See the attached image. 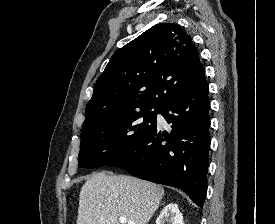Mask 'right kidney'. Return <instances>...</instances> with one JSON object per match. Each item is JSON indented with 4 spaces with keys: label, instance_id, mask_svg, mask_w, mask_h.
I'll return each mask as SVG.
<instances>
[{
    "label": "right kidney",
    "instance_id": "obj_1",
    "mask_svg": "<svg viewBox=\"0 0 275 224\" xmlns=\"http://www.w3.org/2000/svg\"><path fill=\"white\" fill-rule=\"evenodd\" d=\"M156 224H184L178 205L175 203L166 205L157 217Z\"/></svg>",
    "mask_w": 275,
    "mask_h": 224
}]
</instances>
